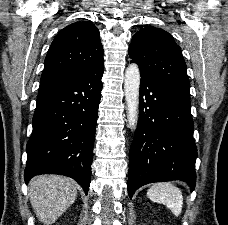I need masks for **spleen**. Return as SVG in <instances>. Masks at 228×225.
Segmentation results:
<instances>
[{
    "label": "spleen",
    "mask_w": 228,
    "mask_h": 225,
    "mask_svg": "<svg viewBox=\"0 0 228 225\" xmlns=\"http://www.w3.org/2000/svg\"><path fill=\"white\" fill-rule=\"evenodd\" d=\"M147 197L153 203L165 205L175 217H179L182 213L183 195L172 183H156L148 189Z\"/></svg>",
    "instance_id": "obj_1"
}]
</instances>
